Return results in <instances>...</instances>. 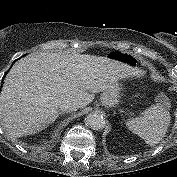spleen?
I'll use <instances>...</instances> for the list:
<instances>
[{
  "mask_svg": "<svg viewBox=\"0 0 177 177\" xmlns=\"http://www.w3.org/2000/svg\"><path fill=\"white\" fill-rule=\"evenodd\" d=\"M170 102L165 95L156 97V104L146 109L142 116L127 120L128 129L144 139L145 143L154 146L165 136L170 125Z\"/></svg>",
  "mask_w": 177,
  "mask_h": 177,
  "instance_id": "spleen-1",
  "label": "spleen"
}]
</instances>
